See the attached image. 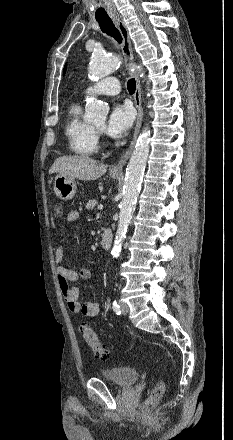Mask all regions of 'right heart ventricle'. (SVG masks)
Segmentation results:
<instances>
[{"label":"right heart ventricle","instance_id":"obj_1","mask_svg":"<svg viewBox=\"0 0 233 440\" xmlns=\"http://www.w3.org/2000/svg\"><path fill=\"white\" fill-rule=\"evenodd\" d=\"M80 104H73L68 110L65 134L70 151L80 157H91L99 150L98 136L93 125L81 116Z\"/></svg>","mask_w":233,"mask_h":440}]
</instances>
